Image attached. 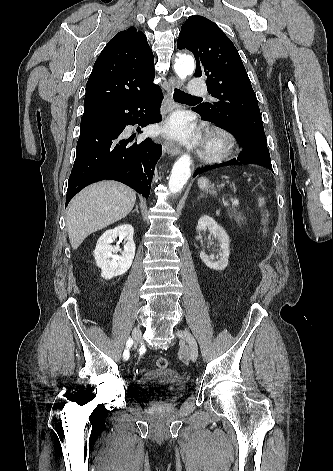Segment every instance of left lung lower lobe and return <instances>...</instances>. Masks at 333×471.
Wrapping results in <instances>:
<instances>
[{"instance_id": "left-lung-lower-lobe-1", "label": "left lung lower lobe", "mask_w": 333, "mask_h": 471, "mask_svg": "<svg viewBox=\"0 0 333 471\" xmlns=\"http://www.w3.org/2000/svg\"><path fill=\"white\" fill-rule=\"evenodd\" d=\"M202 119L206 120L204 118ZM242 164H258V165L268 168L269 170L273 172L268 148L257 146V147L243 148L240 154L238 155V157L232 160H229L220 164H215L212 166H205L203 168H199L194 172L193 177L205 171L212 170L215 168L228 166V165H242Z\"/></svg>"}]
</instances>
